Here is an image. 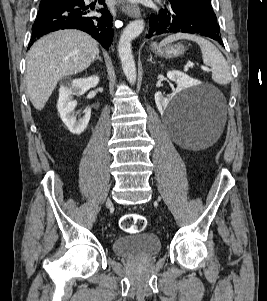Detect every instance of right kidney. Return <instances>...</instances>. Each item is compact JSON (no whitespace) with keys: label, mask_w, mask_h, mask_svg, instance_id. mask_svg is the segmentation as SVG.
<instances>
[{"label":"right kidney","mask_w":267,"mask_h":301,"mask_svg":"<svg viewBox=\"0 0 267 301\" xmlns=\"http://www.w3.org/2000/svg\"><path fill=\"white\" fill-rule=\"evenodd\" d=\"M98 83L99 77L93 75L88 78L75 79L60 88L57 109L61 120L71 133L81 134L86 129L91 117V109L86 108L84 116L76 119L74 109L77 101L73 99L74 95H83L90 88L96 87Z\"/></svg>","instance_id":"ca27d5eb"}]
</instances>
